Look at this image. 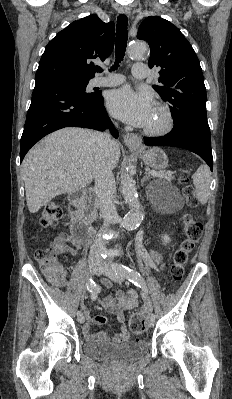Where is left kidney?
<instances>
[{
	"instance_id": "1",
	"label": "left kidney",
	"mask_w": 232,
	"mask_h": 399,
	"mask_svg": "<svg viewBox=\"0 0 232 399\" xmlns=\"http://www.w3.org/2000/svg\"><path fill=\"white\" fill-rule=\"evenodd\" d=\"M163 237V241H165V243H168V241H170V237H168V235H162Z\"/></svg>"
}]
</instances>
